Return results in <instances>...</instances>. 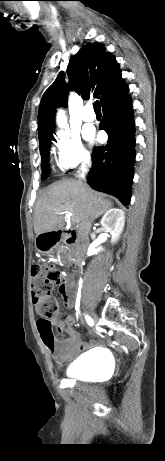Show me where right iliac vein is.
<instances>
[{
    "mask_svg": "<svg viewBox=\"0 0 165 461\" xmlns=\"http://www.w3.org/2000/svg\"><path fill=\"white\" fill-rule=\"evenodd\" d=\"M91 318L93 320V323H97L98 319H97V316H96V314L94 312H91Z\"/></svg>",
    "mask_w": 165,
    "mask_h": 461,
    "instance_id": "obj_1",
    "label": "right iliac vein"
}]
</instances>
